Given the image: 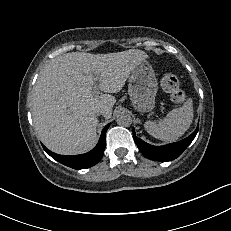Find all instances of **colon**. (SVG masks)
Returning <instances> with one entry per match:
<instances>
[{
  "label": "colon",
  "mask_w": 231,
  "mask_h": 231,
  "mask_svg": "<svg viewBox=\"0 0 231 231\" xmlns=\"http://www.w3.org/2000/svg\"><path fill=\"white\" fill-rule=\"evenodd\" d=\"M161 87L170 96L172 101L181 103L185 100V94L181 89L180 82L174 74H164L161 79Z\"/></svg>",
  "instance_id": "5ec220e1"
}]
</instances>
